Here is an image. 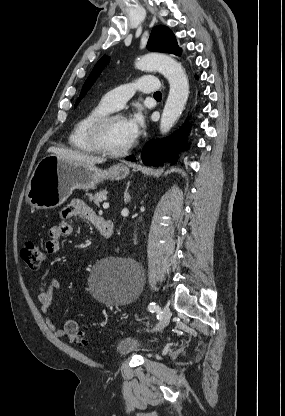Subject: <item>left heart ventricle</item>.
<instances>
[{"mask_svg": "<svg viewBox=\"0 0 285 416\" xmlns=\"http://www.w3.org/2000/svg\"><path fill=\"white\" fill-rule=\"evenodd\" d=\"M106 145L114 150L125 148L131 142L125 131L124 118L114 119L109 123L104 134Z\"/></svg>", "mask_w": 285, "mask_h": 416, "instance_id": "b2bd125f", "label": "left heart ventricle"}]
</instances>
